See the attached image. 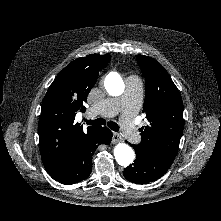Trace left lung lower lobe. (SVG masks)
<instances>
[{
	"label": "left lung lower lobe",
	"instance_id": "left-lung-lower-lobe-1",
	"mask_svg": "<svg viewBox=\"0 0 221 221\" xmlns=\"http://www.w3.org/2000/svg\"><path fill=\"white\" fill-rule=\"evenodd\" d=\"M136 159L124 171V177L137 184H146L163 176L171 166L176 155L170 153L148 154L138 145L131 144Z\"/></svg>",
	"mask_w": 221,
	"mask_h": 221
}]
</instances>
